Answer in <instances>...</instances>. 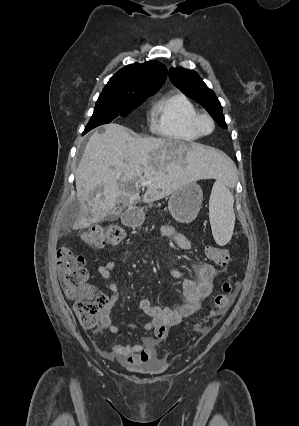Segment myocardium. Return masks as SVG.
<instances>
[{"label":"myocardium","mask_w":299,"mask_h":426,"mask_svg":"<svg viewBox=\"0 0 299 426\" xmlns=\"http://www.w3.org/2000/svg\"><path fill=\"white\" fill-rule=\"evenodd\" d=\"M203 120H207L210 122L211 129L209 131H204L202 129L201 123ZM192 127L200 136H208L214 132L216 123L212 115L208 112H197L192 119Z\"/></svg>","instance_id":"myocardium-1"}]
</instances>
